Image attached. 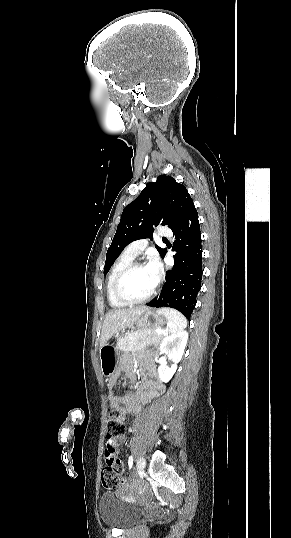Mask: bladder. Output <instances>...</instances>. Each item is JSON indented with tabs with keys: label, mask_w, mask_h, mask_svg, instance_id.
<instances>
[{
	"label": "bladder",
	"mask_w": 291,
	"mask_h": 538,
	"mask_svg": "<svg viewBox=\"0 0 291 538\" xmlns=\"http://www.w3.org/2000/svg\"><path fill=\"white\" fill-rule=\"evenodd\" d=\"M103 523L120 529L129 527L140 515V509L121 500L114 492L105 493L98 505Z\"/></svg>",
	"instance_id": "31cf9c89"
}]
</instances>
